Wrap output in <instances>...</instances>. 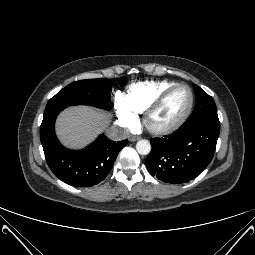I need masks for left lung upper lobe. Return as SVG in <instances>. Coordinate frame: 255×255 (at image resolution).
Returning <instances> with one entry per match:
<instances>
[{
	"mask_svg": "<svg viewBox=\"0 0 255 255\" xmlns=\"http://www.w3.org/2000/svg\"><path fill=\"white\" fill-rule=\"evenodd\" d=\"M196 92L197 104L192 115L182 127H193L201 125H219L217 109L211 96L205 93L199 86H193Z\"/></svg>",
	"mask_w": 255,
	"mask_h": 255,
	"instance_id": "left-lung-upper-lobe-1",
	"label": "left lung upper lobe"
}]
</instances>
